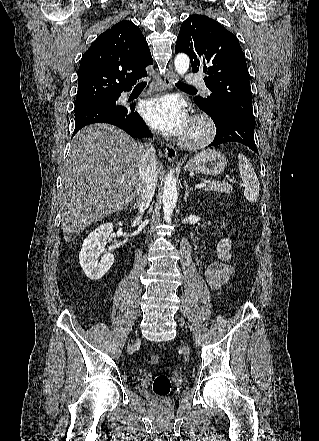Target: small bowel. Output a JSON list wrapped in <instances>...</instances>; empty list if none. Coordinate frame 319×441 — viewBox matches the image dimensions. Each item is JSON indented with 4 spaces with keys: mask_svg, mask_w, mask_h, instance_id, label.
Here are the masks:
<instances>
[{
    "mask_svg": "<svg viewBox=\"0 0 319 441\" xmlns=\"http://www.w3.org/2000/svg\"><path fill=\"white\" fill-rule=\"evenodd\" d=\"M231 245L232 242L229 237L221 239L217 246L219 261L210 264L205 270L206 282L214 290H218L225 285L232 274V267L227 264V261L231 258ZM195 250H197V245H195Z\"/></svg>",
    "mask_w": 319,
    "mask_h": 441,
    "instance_id": "1",
    "label": "small bowel"
}]
</instances>
